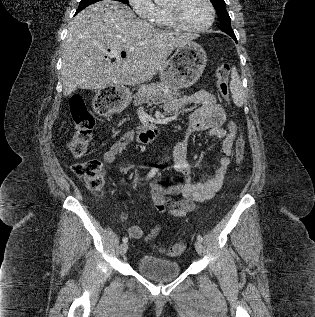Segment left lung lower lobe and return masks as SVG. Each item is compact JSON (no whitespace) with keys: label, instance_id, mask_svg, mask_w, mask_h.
Wrapping results in <instances>:
<instances>
[{"label":"left lung lower lobe","instance_id":"obj_1","mask_svg":"<svg viewBox=\"0 0 315 317\" xmlns=\"http://www.w3.org/2000/svg\"><path fill=\"white\" fill-rule=\"evenodd\" d=\"M235 41H237V39H236V36L234 35V36H231Z\"/></svg>","mask_w":315,"mask_h":317}]
</instances>
